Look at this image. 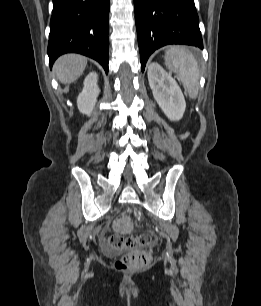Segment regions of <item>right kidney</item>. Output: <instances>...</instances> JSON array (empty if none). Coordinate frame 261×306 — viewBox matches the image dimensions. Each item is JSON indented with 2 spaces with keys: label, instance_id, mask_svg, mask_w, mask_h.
<instances>
[{
  "label": "right kidney",
  "instance_id": "right-kidney-1",
  "mask_svg": "<svg viewBox=\"0 0 261 306\" xmlns=\"http://www.w3.org/2000/svg\"><path fill=\"white\" fill-rule=\"evenodd\" d=\"M97 79V73L91 72L86 76L83 82V90L77 98L78 109L83 114L90 115L95 107L97 97L100 93V89L97 85Z\"/></svg>",
  "mask_w": 261,
  "mask_h": 306
}]
</instances>
